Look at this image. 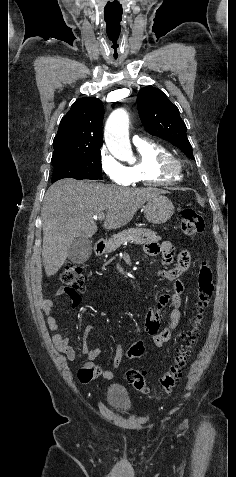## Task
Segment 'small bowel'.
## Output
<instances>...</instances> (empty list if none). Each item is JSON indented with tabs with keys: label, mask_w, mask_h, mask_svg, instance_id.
I'll use <instances>...</instances> for the list:
<instances>
[{
	"label": "small bowel",
	"mask_w": 236,
	"mask_h": 477,
	"mask_svg": "<svg viewBox=\"0 0 236 477\" xmlns=\"http://www.w3.org/2000/svg\"><path fill=\"white\" fill-rule=\"evenodd\" d=\"M145 252L150 256H161L165 265H171L175 259V249L170 241H163L162 243H148L145 245ZM187 257V260L184 259ZM191 263V256L187 250H182L176 258V265L173 268L162 270L161 276L173 283L172 292L163 295L158 303V309L148 310L144 320V330L152 336L153 344L157 348H161L166 344L176 330L181 321V305L182 295L184 293V285L179 278L187 271ZM64 289L57 290L55 296L60 297L65 295ZM72 307H76L80 303V296L77 294H68ZM171 305L172 310L169 312L166 325L160 328V311L166 306ZM55 299H45L41 303V309L44 312L48 327L52 333V341L58 351L63 353L69 360L77 358L76 350L70 345L68 338L58 332V322L53 314ZM94 330V326L88 325L83 331L82 352L86 357V362L78 371V379L81 383L86 384L96 378H103L111 380L113 372L105 370L94 363V360L101 354V349L98 347L91 348L89 346V337ZM124 355V348L117 345L114 350V357L112 364L115 368L120 367Z\"/></svg>",
	"instance_id": "small-bowel-1"
}]
</instances>
